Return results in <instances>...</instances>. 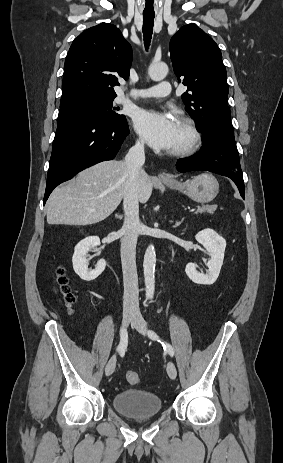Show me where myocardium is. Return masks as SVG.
<instances>
[{
	"instance_id": "1",
	"label": "myocardium",
	"mask_w": 283,
	"mask_h": 463,
	"mask_svg": "<svg viewBox=\"0 0 283 463\" xmlns=\"http://www.w3.org/2000/svg\"><path fill=\"white\" fill-rule=\"evenodd\" d=\"M178 123L186 130L189 135L188 142L174 150L169 151V155L174 157H186L194 154L201 146L202 135L195 123V121L189 117H180Z\"/></svg>"
}]
</instances>
